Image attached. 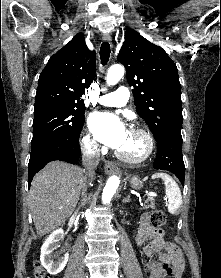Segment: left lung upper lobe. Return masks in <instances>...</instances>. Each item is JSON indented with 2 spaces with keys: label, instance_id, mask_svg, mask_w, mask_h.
<instances>
[{
  "label": "left lung upper lobe",
  "instance_id": "5c2ea615",
  "mask_svg": "<svg viewBox=\"0 0 221 278\" xmlns=\"http://www.w3.org/2000/svg\"><path fill=\"white\" fill-rule=\"evenodd\" d=\"M117 59L127 70L136 111L155 139L169 134L181 135L183 117L178 70L165 50L130 29L126 31Z\"/></svg>",
  "mask_w": 221,
  "mask_h": 278
}]
</instances>
